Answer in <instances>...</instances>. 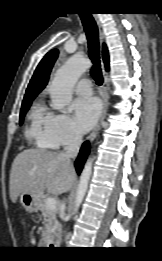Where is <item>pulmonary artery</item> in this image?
<instances>
[{"instance_id":"e3ab8cb5","label":"pulmonary artery","mask_w":162,"mask_h":261,"mask_svg":"<svg viewBox=\"0 0 162 261\" xmlns=\"http://www.w3.org/2000/svg\"><path fill=\"white\" fill-rule=\"evenodd\" d=\"M75 91L78 95L88 97L91 95V81L87 78L80 79L75 85Z\"/></svg>"}]
</instances>
